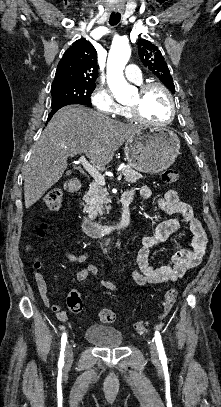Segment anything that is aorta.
<instances>
[{"label":"aorta","mask_w":221,"mask_h":407,"mask_svg":"<svg viewBox=\"0 0 221 407\" xmlns=\"http://www.w3.org/2000/svg\"><path fill=\"white\" fill-rule=\"evenodd\" d=\"M131 49L128 43H114L109 51L107 59V83L118 101H125L134 92L123 74V70L129 61Z\"/></svg>","instance_id":"aorta-1"}]
</instances>
